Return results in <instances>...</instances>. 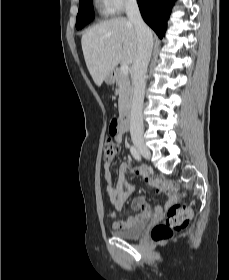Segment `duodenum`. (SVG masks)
Masks as SVG:
<instances>
[{
    "label": "duodenum",
    "mask_w": 229,
    "mask_h": 280,
    "mask_svg": "<svg viewBox=\"0 0 229 280\" xmlns=\"http://www.w3.org/2000/svg\"><path fill=\"white\" fill-rule=\"evenodd\" d=\"M130 113L129 109H124L119 117L120 128L125 131L129 126Z\"/></svg>",
    "instance_id": "duodenum-1"
}]
</instances>
